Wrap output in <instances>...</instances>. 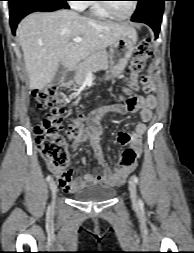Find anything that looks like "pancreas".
<instances>
[{
	"label": "pancreas",
	"instance_id": "obj_1",
	"mask_svg": "<svg viewBox=\"0 0 194 253\" xmlns=\"http://www.w3.org/2000/svg\"><path fill=\"white\" fill-rule=\"evenodd\" d=\"M108 69V57L105 50L96 51L89 55L80 63L75 72L74 81L77 85H82L89 72Z\"/></svg>",
	"mask_w": 194,
	"mask_h": 253
}]
</instances>
